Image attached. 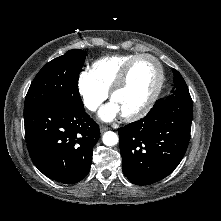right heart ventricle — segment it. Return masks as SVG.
<instances>
[{
    "mask_svg": "<svg viewBox=\"0 0 221 221\" xmlns=\"http://www.w3.org/2000/svg\"><path fill=\"white\" fill-rule=\"evenodd\" d=\"M139 54H120L100 58L91 66V74L95 81L109 92L122 68Z\"/></svg>",
    "mask_w": 221,
    "mask_h": 221,
    "instance_id": "1",
    "label": "right heart ventricle"
}]
</instances>
